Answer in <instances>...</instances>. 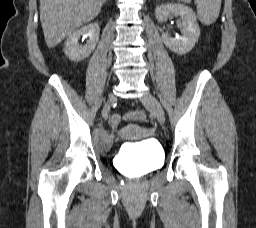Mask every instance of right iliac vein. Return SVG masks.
Listing matches in <instances>:
<instances>
[{
    "label": "right iliac vein",
    "instance_id": "obj_1",
    "mask_svg": "<svg viewBox=\"0 0 256 228\" xmlns=\"http://www.w3.org/2000/svg\"><path fill=\"white\" fill-rule=\"evenodd\" d=\"M114 98H115V96L113 94L109 95L108 101H107V103L105 104V106L103 108V112H102L103 117H106L108 115L109 110H110L111 102L114 100Z\"/></svg>",
    "mask_w": 256,
    "mask_h": 228
}]
</instances>
